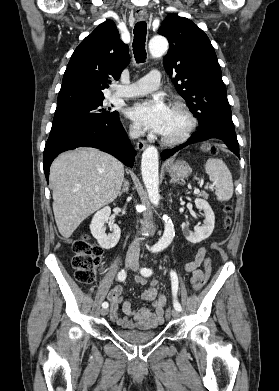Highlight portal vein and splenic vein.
Here are the masks:
<instances>
[{
  "label": "portal vein and splenic vein",
  "mask_w": 279,
  "mask_h": 391,
  "mask_svg": "<svg viewBox=\"0 0 279 391\" xmlns=\"http://www.w3.org/2000/svg\"><path fill=\"white\" fill-rule=\"evenodd\" d=\"M200 193V190L199 189H195L194 190V194H199Z\"/></svg>",
  "instance_id": "obj_1"
}]
</instances>
